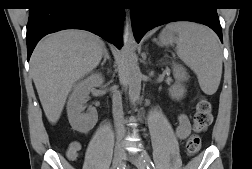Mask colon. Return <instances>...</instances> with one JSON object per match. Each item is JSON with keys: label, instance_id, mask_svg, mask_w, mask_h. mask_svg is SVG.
<instances>
[{"label": "colon", "instance_id": "1", "mask_svg": "<svg viewBox=\"0 0 252 169\" xmlns=\"http://www.w3.org/2000/svg\"><path fill=\"white\" fill-rule=\"evenodd\" d=\"M212 122V106L211 103L201 98L197 105L193 118V130L194 134L190 136L187 141L186 150L189 156H193L198 153L201 148L200 133L207 129ZM70 158H75L76 153L72 150L68 153Z\"/></svg>", "mask_w": 252, "mask_h": 169}]
</instances>
